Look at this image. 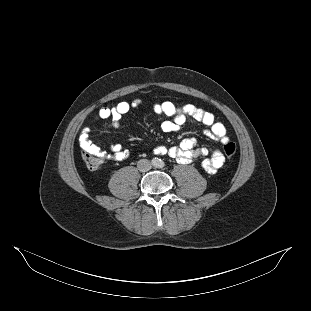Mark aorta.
<instances>
[{
    "label": "aorta",
    "instance_id": "aorta-1",
    "mask_svg": "<svg viewBox=\"0 0 311 311\" xmlns=\"http://www.w3.org/2000/svg\"><path fill=\"white\" fill-rule=\"evenodd\" d=\"M158 160L155 158V159H153L152 160V164H153V166H155V167H159V166H157L156 164H155V162H157Z\"/></svg>",
    "mask_w": 311,
    "mask_h": 311
}]
</instances>
